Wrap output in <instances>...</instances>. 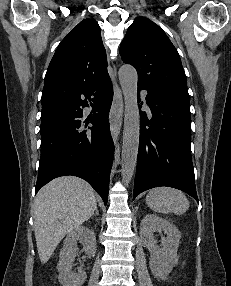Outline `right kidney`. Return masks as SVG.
<instances>
[{
  "label": "right kidney",
  "instance_id": "ca27d5eb",
  "mask_svg": "<svg viewBox=\"0 0 231 286\" xmlns=\"http://www.w3.org/2000/svg\"><path fill=\"white\" fill-rule=\"evenodd\" d=\"M77 241L83 244V250L88 257H93L96 253L97 244L94 231L85 226H79L70 232L64 240L63 248L60 251V260L57 264L58 279L62 286H82L87 278L85 271L82 269L78 273L71 271Z\"/></svg>",
  "mask_w": 231,
  "mask_h": 286
}]
</instances>
